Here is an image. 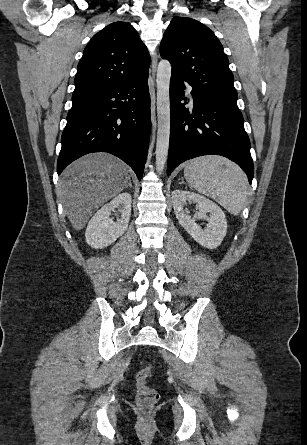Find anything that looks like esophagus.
Returning <instances> with one entry per match:
<instances>
[{
	"instance_id": "34e87169",
	"label": "esophagus",
	"mask_w": 307,
	"mask_h": 445,
	"mask_svg": "<svg viewBox=\"0 0 307 445\" xmlns=\"http://www.w3.org/2000/svg\"><path fill=\"white\" fill-rule=\"evenodd\" d=\"M157 61H158V57L157 55H154L152 58V76L155 77V73H156V68H157Z\"/></svg>"
}]
</instances>
